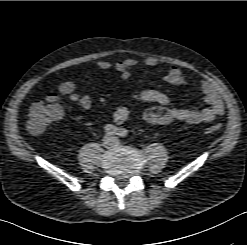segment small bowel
<instances>
[{
	"mask_svg": "<svg viewBox=\"0 0 247 245\" xmlns=\"http://www.w3.org/2000/svg\"><path fill=\"white\" fill-rule=\"evenodd\" d=\"M138 61L134 58L110 62L98 60L95 65L101 70L115 69L123 80L130 78L132 70L138 66ZM158 64L157 59L149 57L143 61V65L154 67ZM164 80L171 84L186 85L189 79L177 66H171ZM200 89L203 94L204 102L207 106L203 109L179 108L172 104L168 95L156 89H146L136 92L130 96L128 101L116 109L113 119L117 123L124 122L129 118L134 106L140 103H155L156 106L150 107L144 112V120L152 125H165L174 121H181L187 124L210 123L224 113V104L216 89L208 81L200 82ZM60 95L67 96L68 99L77 104L83 110H89L92 101L89 96L81 95L77 92L75 81H65L58 86V93L51 92L46 98L48 104L57 106L62 114L61 106L58 104Z\"/></svg>",
	"mask_w": 247,
	"mask_h": 245,
	"instance_id": "small-bowel-1",
	"label": "small bowel"
}]
</instances>
